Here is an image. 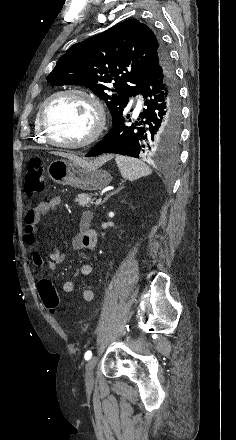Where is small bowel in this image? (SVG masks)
Instances as JSON below:
<instances>
[{
	"mask_svg": "<svg viewBox=\"0 0 236 440\" xmlns=\"http://www.w3.org/2000/svg\"><path fill=\"white\" fill-rule=\"evenodd\" d=\"M60 204V198L55 197L48 200L39 202L35 207L30 208L24 219V231L23 236L25 242L34 247L37 241V225L40 219L47 216L50 212L55 210ZM92 215L90 212L83 213L76 235L72 239V247L75 250L83 248L94 250L97 246L98 237L97 233L90 228ZM65 260L64 255L55 250L52 252L47 260L44 259L42 254L38 250H34L32 253V261L36 271L39 274H43L48 268L53 271L62 264ZM93 266L90 264H84L81 267V274L83 276H90L93 273ZM63 291L70 293L75 290L76 284L73 280H67L63 284ZM94 298V293L91 289H85L82 293V299L84 302H91Z\"/></svg>",
	"mask_w": 236,
	"mask_h": 440,
	"instance_id": "obj_1",
	"label": "small bowel"
}]
</instances>
